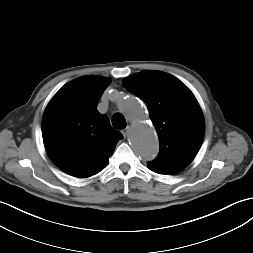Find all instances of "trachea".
Instances as JSON below:
<instances>
[{
  "mask_svg": "<svg viewBox=\"0 0 253 253\" xmlns=\"http://www.w3.org/2000/svg\"><path fill=\"white\" fill-rule=\"evenodd\" d=\"M112 125L116 129H123L126 127L125 117L121 113H116L112 117Z\"/></svg>",
  "mask_w": 253,
  "mask_h": 253,
  "instance_id": "3493384b",
  "label": "trachea"
}]
</instances>
